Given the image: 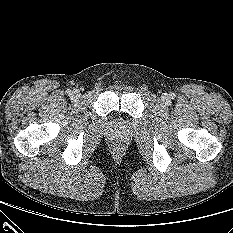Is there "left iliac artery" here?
Returning a JSON list of instances; mask_svg holds the SVG:
<instances>
[{
    "label": "left iliac artery",
    "mask_w": 233,
    "mask_h": 233,
    "mask_svg": "<svg viewBox=\"0 0 233 233\" xmlns=\"http://www.w3.org/2000/svg\"><path fill=\"white\" fill-rule=\"evenodd\" d=\"M170 96H171V98H174V97H175V95H174V94H171Z\"/></svg>",
    "instance_id": "44dca946"
}]
</instances>
